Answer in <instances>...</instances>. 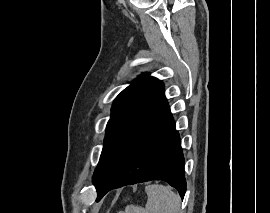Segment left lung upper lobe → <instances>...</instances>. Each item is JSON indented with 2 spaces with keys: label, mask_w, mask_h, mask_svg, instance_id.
Returning <instances> with one entry per match:
<instances>
[{
  "label": "left lung upper lobe",
  "mask_w": 270,
  "mask_h": 213,
  "mask_svg": "<svg viewBox=\"0 0 270 213\" xmlns=\"http://www.w3.org/2000/svg\"><path fill=\"white\" fill-rule=\"evenodd\" d=\"M165 101L164 84L149 74L141 75L116 97L93 176L96 187L140 124Z\"/></svg>",
  "instance_id": "1"
}]
</instances>
